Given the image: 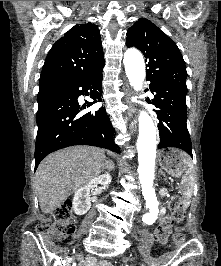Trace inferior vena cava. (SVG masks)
I'll return each instance as SVG.
<instances>
[{
    "label": "inferior vena cava",
    "instance_id": "inferior-vena-cava-1",
    "mask_svg": "<svg viewBox=\"0 0 221 266\" xmlns=\"http://www.w3.org/2000/svg\"><path fill=\"white\" fill-rule=\"evenodd\" d=\"M112 163L110 161H107V167H110Z\"/></svg>",
    "mask_w": 221,
    "mask_h": 266
}]
</instances>
